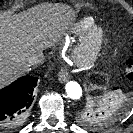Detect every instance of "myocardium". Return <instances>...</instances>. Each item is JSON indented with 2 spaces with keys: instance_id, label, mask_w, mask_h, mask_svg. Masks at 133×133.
<instances>
[{
  "instance_id": "obj_1",
  "label": "myocardium",
  "mask_w": 133,
  "mask_h": 133,
  "mask_svg": "<svg viewBox=\"0 0 133 133\" xmlns=\"http://www.w3.org/2000/svg\"><path fill=\"white\" fill-rule=\"evenodd\" d=\"M105 40V28L99 24L91 26L71 52L73 66L79 70L90 69L99 58Z\"/></svg>"
}]
</instances>
